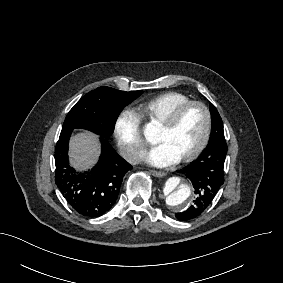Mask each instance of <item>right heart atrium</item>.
<instances>
[{
	"mask_svg": "<svg viewBox=\"0 0 283 283\" xmlns=\"http://www.w3.org/2000/svg\"><path fill=\"white\" fill-rule=\"evenodd\" d=\"M113 134L120 153L128 162H134L144 145L141 121L130 108L123 109L115 119Z\"/></svg>",
	"mask_w": 283,
	"mask_h": 283,
	"instance_id": "1",
	"label": "right heart atrium"
}]
</instances>
